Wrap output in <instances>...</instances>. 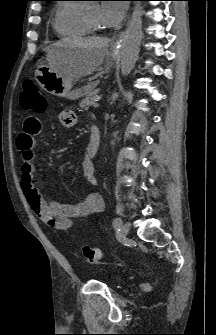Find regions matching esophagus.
Here are the masks:
<instances>
[{"label": "esophagus", "mask_w": 216, "mask_h": 335, "mask_svg": "<svg viewBox=\"0 0 216 335\" xmlns=\"http://www.w3.org/2000/svg\"><path fill=\"white\" fill-rule=\"evenodd\" d=\"M123 36H124V32H121L119 34V37L115 40L114 45H113L114 50L120 49L121 43H122V40H123Z\"/></svg>", "instance_id": "34e87169"}]
</instances>
